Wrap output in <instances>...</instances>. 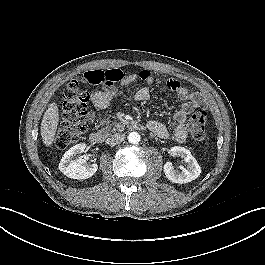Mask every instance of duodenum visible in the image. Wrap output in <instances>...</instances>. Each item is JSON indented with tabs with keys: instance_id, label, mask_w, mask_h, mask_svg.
Instances as JSON below:
<instances>
[{
	"instance_id": "duodenum-1",
	"label": "duodenum",
	"mask_w": 265,
	"mask_h": 265,
	"mask_svg": "<svg viewBox=\"0 0 265 265\" xmlns=\"http://www.w3.org/2000/svg\"><path fill=\"white\" fill-rule=\"evenodd\" d=\"M133 128L136 129V130H141V129H143V126L140 125V124H136V125L133 126ZM89 140H90L91 143L98 145V144L103 143L104 137H103V134L101 132L92 131L90 133V135H89Z\"/></svg>"
}]
</instances>
